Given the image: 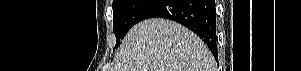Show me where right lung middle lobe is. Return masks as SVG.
Returning <instances> with one entry per match:
<instances>
[{
	"label": "right lung middle lobe",
	"instance_id": "right-lung-middle-lobe-1",
	"mask_svg": "<svg viewBox=\"0 0 301 71\" xmlns=\"http://www.w3.org/2000/svg\"><path fill=\"white\" fill-rule=\"evenodd\" d=\"M155 0H113V32L116 46L129 29L140 21L143 12Z\"/></svg>",
	"mask_w": 301,
	"mask_h": 71
}]
</instances>
